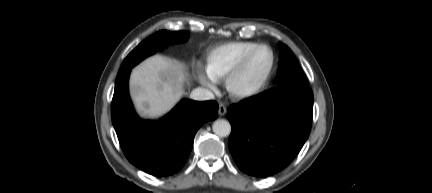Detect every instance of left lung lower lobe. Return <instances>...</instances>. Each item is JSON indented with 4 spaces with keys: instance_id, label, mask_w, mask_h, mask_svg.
Here are the masks:
<instances>
[{
    "instance_id": "obj_1",
    "label": "left lung lower lobe",
    "mask_w": 432,
    "mask_h": 193,
    "mask_svg": "<svg viewBox=\"0 0 432 193\" xmlns=\"http://www.w3.org/2000/svg\"><path fill=\"white\" fill-rule=\"evenodd\" d=\"M312 115L309 88L276 87L231 105L228 144L238 167L256 177L285 168L304 145Z\"/></svg>"
}]
</instances>
